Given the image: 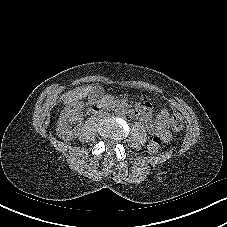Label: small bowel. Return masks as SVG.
Returning a JSON list of instances; mask_svg holds the SVG:
<instances>
[{"instance_id":"small-bowel-1","label":"small bowel","mask_w":227,"mask_h":227,"mask_svg":"<svg viewBox=\"0 0 227 227\" xmlns=\"http://www.w3.org/2000/svg\"><path fill=\"white\" fill-rule=\"evenodd\" d=\"M135 110L138 112L136 118L145 123L150 134L160 136L165 142L171 140L172 134L169 130L171 119L167 109H161L156 120L152 119L151 105L149 103H145L143 106Z\"/></svg>"}]
</instances>
